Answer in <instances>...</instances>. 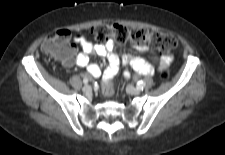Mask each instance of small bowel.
Here are the masks:
<instances>
[{"label":"small bowel","mask_w":225,"mask_h":155,"mask_svg":"<svg viewBox=\"0 0 225 155\" xmlns=\"http://www.w3.org/2000/svg\"><path fill=\"white\" fill-rule=\"evenodd\" d=\"M71 43L75 47H81V52L78 54L75 64L79 67L86 68L87 72L93 77H99L101 75V69L98 64L90 63L89 57L91 55L104 56L108 60L107 66L103 70V79L112 81L114 76L120 74V64H129L135 71L144 75H152L155 72V68L152 63L158 64V69H162L164 63H170V56H162L158 59L156 56L151 57V62H148L142 57L137 56H123L121 62L118 63V66L110 62L113 60L114 54H116L114 49V42L107 41L106 43H93L87 40V34L83 30H75L71 34ZM135 48L140 52H146L148 47L144 44H135ZM68 64V62H66ZM127 76V73H125Z\"/></svg>","instance_id":"1"}]
</instances>
